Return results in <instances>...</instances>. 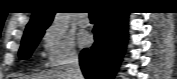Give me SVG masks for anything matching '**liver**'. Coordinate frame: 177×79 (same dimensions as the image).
<instances>
[{
	"label": "liver",
	"instance_id": "6515ba94",
	"mask_svg": "<svg viewBox=\"0 0 177 79\" xmlns=\"http://www.w3.org/2000/svg\"><path fill=\"white\" fill-rule=\"evenodd\" d=\"M20 79H68L66 72L59 70H51L41 74L31 76H23Z\"/></svg>",
	"mask_w": 177,
	"mask_h": 79
}]
</instances>
